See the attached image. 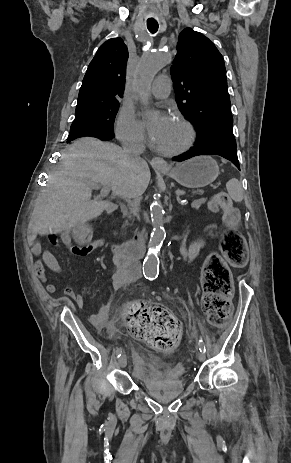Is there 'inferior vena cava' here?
Listing matches in <instances>:
<instances>
[{"mask_svg":"<svg viewBox=\"0 0 291 463\" xmlns=\"http://www.w3.org/2000/svg\"><path fill=\"white\" fill-rule=\"evenodd\" d=\"M144 150L145 146L139 138L123 142V151L132 161H138Z\"/></svg>","mask_w":291,"mask_h":463,"instance_id":"obj_1","label":"inferior vena cava"}]
</instances>
